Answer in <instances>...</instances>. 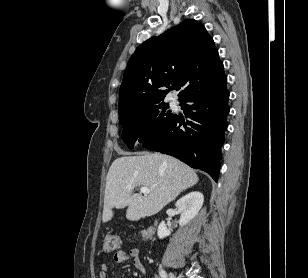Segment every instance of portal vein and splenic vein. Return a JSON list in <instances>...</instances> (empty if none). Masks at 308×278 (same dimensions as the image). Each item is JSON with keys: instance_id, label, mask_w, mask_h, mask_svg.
<instances>
[{"instance_id": "obj_1", "label": "portal vein and splenic vein", "mask_w": 308, "mask_h": 278, "mask_svg": "<svg viewBox=\"0 0 308 278\" xmlns=\"http://www.w3.org/2000/svg\"><path fill=\"white\" fill-rule=\"evenodd\" d=\"M141 193H143L144 195L149 194L150 190L148 187H141L140 189Z\"/></svg>"}]
</instances>
